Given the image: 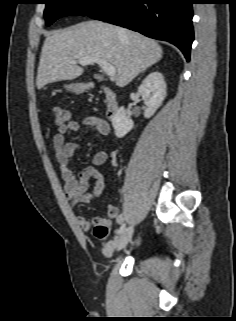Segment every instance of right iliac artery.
Wrapping results in <instances>:
<instances>
[{
	"label": "right iliac artery",
	"mask_w": 236,
	"mask_h": 321,
	"mask_svg": "<svg viewBox=\"0 0 236 321\" xmlns=\"http://www.w3.org/2000/svg\"><path fill=\"white\" fill-rule=\"evenodd\" d=\"M125 227H126V225H125V223H123V224L121 225L118 233H119V234H122V233L124 232V230H125Z\"/></svg>",
	"instance_id": "obj_1"
}]
</instances>
